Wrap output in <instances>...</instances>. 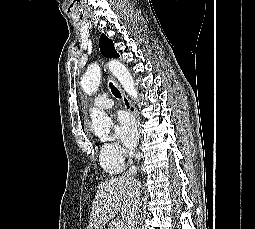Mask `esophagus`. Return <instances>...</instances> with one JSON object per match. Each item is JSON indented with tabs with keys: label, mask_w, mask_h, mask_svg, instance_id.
<instances>
[{
	"label": "esophagus",
	"mask_w": 255,
	"mask_h": 229,
	"mask_svg": "<svg viewBox=\"0 0 255 229\" xmlns=\"http://www.w3.org/2000/svg\"><path fill=\"white\" fill-rule=\"evenodd\" d=\"M108 74H109L110 78L113 80V82L115 83V85L117 86V88L119 89L125 108L134 116V118L136 119L137 125L139 127L140 126V117L137 113L136 108L132 105V103L130 102L129 98L126 96L124 90L122 89L121 85L118 83L116 78L111 73H108ZM136 158H137V162L139 163L140 158H141L140 151L137 153Z\"/></svg>",
	"instance_id": "34e87169"
}]
</instances>
